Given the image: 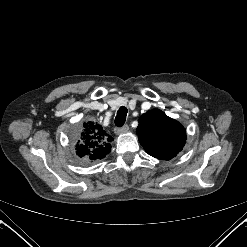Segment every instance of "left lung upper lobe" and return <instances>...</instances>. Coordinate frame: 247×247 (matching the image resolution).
<instances>
[{
	"label": "left lung upper lobe",
	"mask_w": 247,
	"mask_h": 247,
	"mask_svg": "<svg viewBox=\"0 0 247 247\" xmlns=\"http://www.w3.org/2000/svg\"><path fill=\"white\" fill-rule=\"evenodd\" d=\"M136 132L146 152L158 159H172L182 150L186 141L184 127L156 109L141 116Z\"/></svg>",
	"instance_id": "left-lung-upper-lobe-1"
}]
</instances>
